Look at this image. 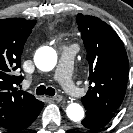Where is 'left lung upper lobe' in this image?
I'll use <instances>...</instances> for the list:
<instances>
[{"instance_id":"left-lung-upper-lobe-1","label":"left lung upper lobe","mask_w":133,"mask_h":133,"mask_svg":"<svg viewBox=\"0 0 133 133\" xmlns=\"http://www.w3.org/2000/svg\"><path fill=\"white\" fill-rule=\"evenodd\" d=\"M77 24L87 51L89 90L84 106L115 113L126 92L128 57L117 33L97 17L78 14Z\"/></svg>"}]
</instances>
